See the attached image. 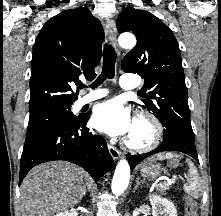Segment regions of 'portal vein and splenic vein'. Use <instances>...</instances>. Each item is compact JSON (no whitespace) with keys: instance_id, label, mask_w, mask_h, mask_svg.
Instances as JSON below:
<instances>
[{"instance_id":"obj_1","label":"portal vein and splenic vein","mask_w":221,"mask_h":216,"mask_svg":"<svg viewBox=\"0 0 221 216\" xmlns=\"http://www.w3.org/2000/svg\"><path fill=\"white\" fill-rule=\"evenodd\" d=\"M168 184H173L175 182V179H169L167 180ZM162 183H160L159 185H161Z\"/></svg>"}]
</instances>
